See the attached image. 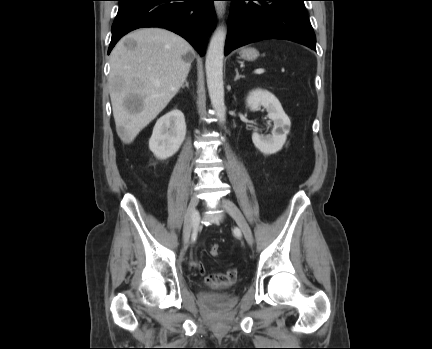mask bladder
I'll return each mask as SVG.
<instances>
[{"label":"bladder","instance_id":"1","mask_svg":"<svg viewBox=\"0 0 432 349\" xmlns=\"http://www.w3.org/2000/svg\"><path fill=\"white\" fill-rule=\"evenodd\" d=\"M205 297L209 299H215V300L224 299V295L219 293L207 294L205 295Z\"/></svg>","mask_w":432,"mask_h":349}]
</instances>
